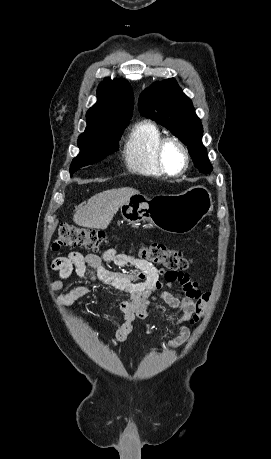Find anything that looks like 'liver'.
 Wrapping results in <instances>:
<instances>
[{
    "label": "liver",
    "instance_id": "obj_1",
    "mask_svg": "<svg viewBox=\"0 0 271 459\" xmlns=\"http://www.w3.org/2000/svg\"><path fill=\"white\" fill-rule=\"evenodd\" d=\"M140 194L133 188H119V190H106L96 194L88 202H84L75 208L73 222L77 226L90 229L108 228L114 214H117L120 206H123L131 196Z\"/></svg>",
    "mask_w": 271,
    "mask_h": 459
}]
</instances>
